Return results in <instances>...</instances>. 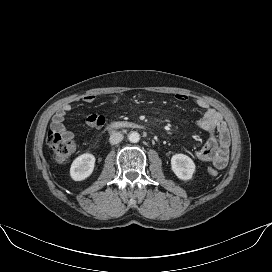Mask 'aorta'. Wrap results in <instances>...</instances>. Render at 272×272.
<instances>
[{
    "instance_id": "762f6f07",
    "label": "aorta",
    "mask_w": 272,
    "mask_h": 272,
    "mask_svg": "<svg viewBox=\"0 0 272 272\" xmlns=\"http://www.w3.org/2000/svg\"><path fill=\"white\" fill-rule=\"evenodd\" d=\"M128 139L131 143H137L140 140V135L138 132H131L128 136Z\"/></svg>"
}]
</instances>
